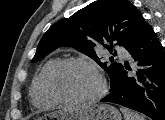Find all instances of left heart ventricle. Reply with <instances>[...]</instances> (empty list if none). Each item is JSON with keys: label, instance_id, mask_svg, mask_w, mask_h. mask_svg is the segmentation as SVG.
I'll return each mask as SVG.
<instances>
[{"label": "left heart ventricle", "instance_id": "b2bd125f", "mask_svg": "<svg viewBox=\"0 0 165 120\" xmlns=\"http://www.w3.org/2000/svg\"><path fill=\"white\" fill-rule=\"evenodd\" d=\"M53 86L61 96L76 99L95 94L100 83L89 68L82 65H68L55 75Z\"/></svg>", "mask_w": 165, "mask_h": 120}]
</instances>
